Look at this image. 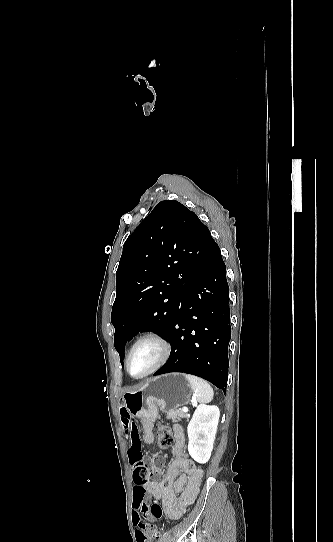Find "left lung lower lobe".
<instances>
[{
	"label": "left lung lower lobe",
	"mask_w": 333,
	"mask_h": 542,
	"mask_svg": "<svg viewBox=\"0 0 333 542\" xmlns=\"http://www.w3.org/2000/svg\"><path fill=\"white\" fill-rule=\"evenodd\" d=\"M182 303L167 336L171 344L170 357L154 376L170 372L193 374L225 393L231 339L229 286L226 266L215 241Z\"/></svg>",
	"instance_id": "obj_1"
}]
</instances>
